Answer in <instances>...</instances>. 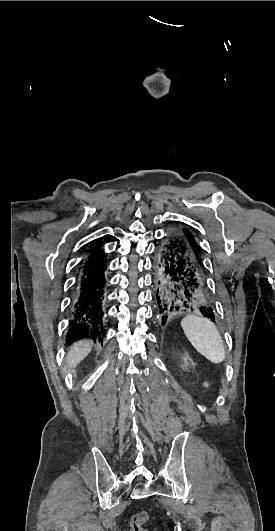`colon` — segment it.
<instances>
[{"instance_id": "5ec220e1", "label": "colon", "mask_w": 275, "mask_h": 531, "mask_svg": "<svg viewBox=\"0 0 275 531\" xmlns=\"http://www.w3.org/2000/svg\"><path fill=\"white\" fill-rule=\"evenodd\" d=\"M149 520V514L143 510L135 514L130 521V531H145L144 524Z\"/></svg>"}]
</instances>
